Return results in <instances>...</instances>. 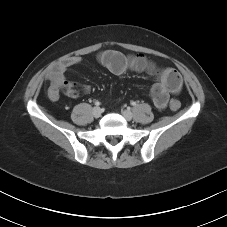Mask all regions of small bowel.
<instances>
[{
    "mask_svg": "<svg viewBox=\"0 0 227 227\" xmlns=\"http://www.w3.org/2000/svg\"><path fill=\"white\" fill-rule=\"evenodd\" d=\"M98 61L115 75H122L128 70L147 72L151 75L157 74L156 64L142 54L125 55L116 50H105L99 54ZM80 62L81 59L79 57H71L48 72L47 79L50 82L49 95L52 99H57L60 92H63L68 97L77 98L81 93L90 91L88 85H78L66 79V71ZM179 88L180 84L171 86L160 79L151 88V97L154 105L158 109H164L167 106L170 94L176 93Z\"/></svg>",
    "mask_w": 227,
    "mask_h": 227,
    "instance_id": "1",
    "label": "small bowel"
}]
</instances>
